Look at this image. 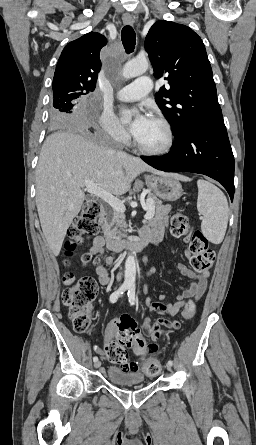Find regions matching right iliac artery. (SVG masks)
I'll return each mask as SVG.
<instances>
[{
    "mask_svg": "<svg viewBox=\"0 0 256 445\" xmlns=\"http://www.w3.org/2000/svg\"><path fill=\"white\" fill-rule=\"evenodd\" d=\"M129 288V285H127V284H123L117 291H115V292H113L111 295H110V298H109V300H110V302L111 303H115L117 300H118V298L127 290ZM98 360V357H93V361L94 362H96Z\"/></svg>",
    "mask_w": 256,
    "mask_h": 445,
    "instance_id": "obj_1",
    "label": "right iliac artery"
}]
</instances>
